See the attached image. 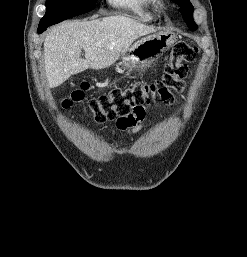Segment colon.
<instances>
[{"label":"colon","instance_id":"obj_1","mask_svg":"<svg viewBox=\"0 0 247 257\" xmlns=\"http://www.w3.org/2000/svg\"><path fill=\"white\" fill-rule=\"evenodd\" d=\"M196 55V47L187 43L176 44L165 64L161 79L151 83L139 81L114 88L89 101L88 110L93 120L97 123L116 121V124L127 125L134 111L143 110L157 100H170L174 93L184 90L186 63L193 61ZM88 88L89 85L83 83L73 89L63 100V106L69 107L73 102L83 100Z\"/></svg>","mask_w":247,"mask_h":257}]
</instances>
